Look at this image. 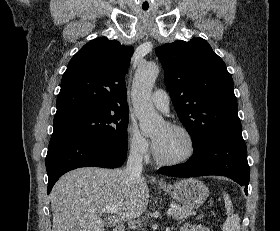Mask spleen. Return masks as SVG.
Listing matches in <instances>:
<instances>
[{
	"instance_id": "spleen-1",
	"label": "spleen",
	"mask_w": 280,
	"mask_h": 231,
	"mask_svg": "<svg viewBox=\"0 0 280 231\" xmlns=\"http://www.w3.org/2000/svg\"><path fill=\"white\" fill-rule=\"evenodd\" d=\"M223 197L228 213V217L223 225V231H240V217L237 213H233V205L228 193L224 191Z\"/></svg>"
}]
</instances>
